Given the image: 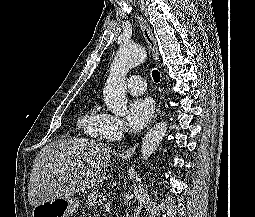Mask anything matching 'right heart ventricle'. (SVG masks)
<instances>
[{
  "instance_id": "obj_1",
  "label": "right heart ventricle",
  "mask_w": 255,
  "mask_h": 217,
  "mask_svg": "<svg viewBox=\"0 0 255 217\" xmlns=\"http://www.w3.org/2000/svg\"><path fill=\"white\" fill-rule=\"evenodd\" d=\"M106 113L97 104H92L80 117L78 126L88 137L96 140L105 138L103 126Z\"/></svg>"
}]
</instances>
